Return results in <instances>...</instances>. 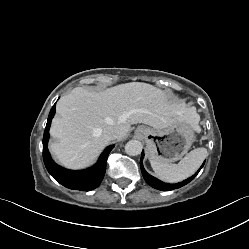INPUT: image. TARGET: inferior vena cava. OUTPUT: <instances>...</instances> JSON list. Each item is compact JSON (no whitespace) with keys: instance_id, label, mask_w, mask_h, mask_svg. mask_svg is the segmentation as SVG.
Instances as JSON below:
<instances>
[{"instance_id":"602c4592","label":"inferior vena cava","mask_w":249,"mask_h":249,"mask_svg":"<svg viewBox=\"0 0 249 249\" xmlns=\"http://www.w3.org/2000/svg\"><path fill=\"white\" fill-rule=\"evenodd\" d=\"M118 135H119V132L114 128H107L106 130H104V137L107 140H114L118 138Z\"/></svg>"}]
</instances>
